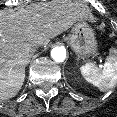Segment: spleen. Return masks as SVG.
I'll use <instances>...</instances> for the list:
<instances>
[{
    "instance_id": "1",
    "label": "spleen",
    "mask_w": 117,
    "mask_h": 117,
    "mask_svg": "<svg viewBox=\"0 0 117 117\" xmlns=\"http://www.w3.org/2000/svg\"><path fill=\"white\" fill-rule=\"evenodd\" d=\"M86 81L101 91L111 89L117 83V49L111 48L102 68L93 63H86L80 68Z\"/></svg>"
}]
</instances>
